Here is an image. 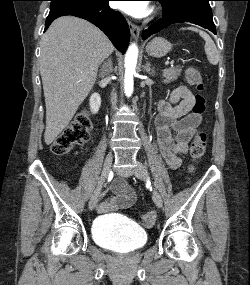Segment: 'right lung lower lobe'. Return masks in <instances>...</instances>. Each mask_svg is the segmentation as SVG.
Masks as SVG:
<instances>
[{"instance_id": "obj_1", "label": "right lung lower lobe", "mask_w": 250, "mask_h": 285, "mask_svg": "<svg viewBox=\"0 0 250 285\" xmlns=\"http://www.w3.org/2000/svg\"><path fill=\"white\" fill-rule=\"evenodd\" d=\"M109 0H98L89 5H76L50 12L45 23V30L53 20L60 16L72 15L90 21L100 28L123 54L129 44V27L125 18L112 10Z\"/></svg>"}]
</instances>
